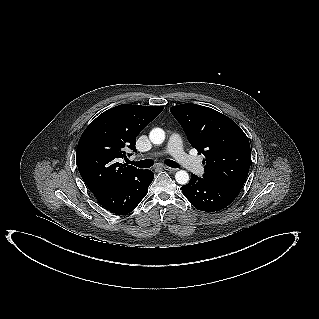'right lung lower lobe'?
I'll return each mask as SVG.
<instances>
[{
    "label": "right lung lower lobe",
    "instance_id": "obj_1",
    "mask_svg": "<svg viewBox=\"0 0 319 319\" xmlns=\"http://www.w3.org/2000/svg\"><path fill=\"white\" fill-rule=\"evenodd\" d=\"M153 178L152 171L140 170L114 184L96 198L108 211L117 215L128 214L145 197Z\"/></svg>",
    "mask_w": 319,
    "mask_h": 319
}]
</instances>
